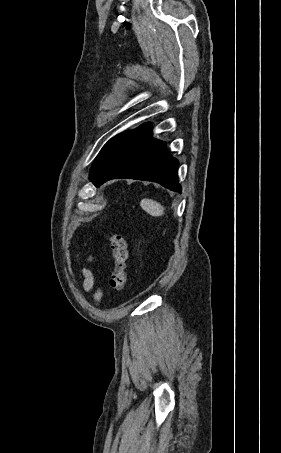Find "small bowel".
<instances>
[{
  "label": "small bowel",
  "instance_id": "c3829d8e",
  "mask_svg": "<svg viewBox=\"0 0 281 453\" xmlns=\"http://www.w3.org/2000/svg\"><path fill=\"white\" fill-rule=\"evenodd\" d=\"M93 262H97V258H94ZM83 288L87 292L94 288V277H93V274H92V272L90 270H87V271L84 272ZM101 298H102V292L98 291L95 294V299L97 301H99V300H101Z\"/></svg>",
  "mask_w": 281,
  "mask_h": 453
}]
</instances>
